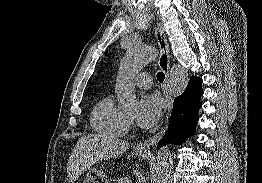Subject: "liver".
Masks as SVG:
<instances>
[{
    "mask_svg": "<svg viewBox=\"0 0 262 183\" xmlns=\"http://www.w3.org/2000/svg\"><path fill=\"white\" fill-rule=\"evenodd\" d=\"M130 146L125 140L105 134H88L82 136L68 160V180L74 183L77 178L100 160L120 157Z\"/></svg>",
    "mask_w": 262,
    "mask_h": 183,
    "instance_id": "1",
    "label": "liver"
}]
</instances>
